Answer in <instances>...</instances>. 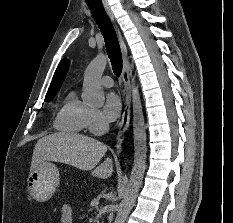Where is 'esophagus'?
Wrapping results in <instances>:
<instances>
[{
	"label": "esophagus",
	"instance_id": "1",
	"mask_svg": "<svg viewBox=\"0 0 233 223\" xmlns=\"http://www.w3.org/2000/svg\"><path fill=\"white\" fill-rule=\"evenodd\" d=\"M102 3L105 8V11L107 12V15L114 22L115 17L113 15L112 10L110 9L107 0H102ZM117 33H118L120 48L122 52V60H123L122 80L124 84L123 113L116 138L117 154L119 155L121 152V146L123 143L124 135L129 127V122H130L131 83H130V62L128 57V51L119 29H117Z\"/></svg>",
	"mask_w": 233,
	"mask_h": 223
}]
</instances>
